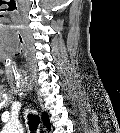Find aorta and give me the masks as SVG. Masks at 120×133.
Masks as SVG:
<instances>
[{"label":"aorta","instance_id":"obj_1","mask_svg":"<svg viewBox=\"0 0 120 133\" xmlns=\"http://www.w3.org/2000/svg\"><path fill=\"white\" fill-rule=\"evenodd\" d=\"M15 125L14 124H8L7 130L8 131H14Z\"/></svg>","mask_w":120,"mask_h":133}]
</instances>
